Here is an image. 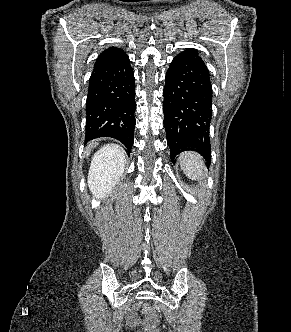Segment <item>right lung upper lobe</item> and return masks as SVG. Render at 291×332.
Here are the masks:
<instances>
[{
  "label": "right lung upper lobe",
  "mask_w": 291,
  "mask_h": 332,
  "mask_svg": "<svg viewBox=\"0 0 291 332\" xmlns=\"http://www.w3.org/2000/svg\"><path fill=\"white\" fill-rule=\"evenodd\" d=\"M125 57H127V55L121 48L109 47L98 56L95 65L105 62L117 61Z\"/></svg>",
  "instance_id": "right-lung-upper-lobe-1"
}]
</instances>
